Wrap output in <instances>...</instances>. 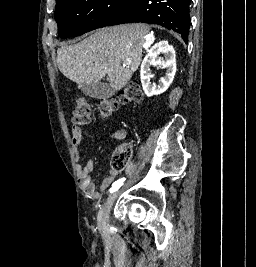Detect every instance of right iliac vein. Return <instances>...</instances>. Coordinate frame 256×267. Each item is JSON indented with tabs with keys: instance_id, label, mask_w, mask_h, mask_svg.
Instances as JSON below:
<instances>
[{
	"instance_id": "63e3f726",
	"label": "right iliac vein",
	"mask_w": 256,
	"mask_h": 267,
	"mask_svg": "<svg viewBox=\"0 0 256 267\" xmlns=\"http://www.w3.org/2000/svg\"><path fill=\"white\" fill-rule=\"evenodd\" d=\"M117 195L118 193L116 192L111 194L100 209L98 213V226L100 228L106 227L110 216L111 208L116 200Z\"/></svg>"
}]
</instances>
